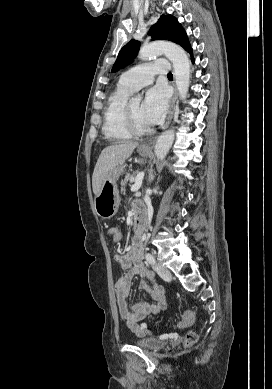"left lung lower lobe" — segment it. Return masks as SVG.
<instances>
[{"label":"left lung lower lobe","mask_w":272,"mask_h":389,"mask_svg":"<svg viewBox=\"0 0 272 389\" xmlns=\"http://www.w3.org/2000/svg\"><path fill=\"white\" fill-rule=\"evenodd\" d=\"M189 53H190V55H191V60H192V62H194V58H193V54H192V49L189 51Z\"/></svg>","instance_id":"left-lung-lower-lobe-1"}]
</instances>
